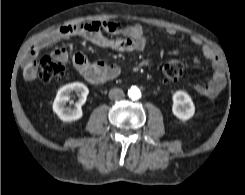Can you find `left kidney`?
<instances>
[{
  "instance_id": "5707ae66",
  "label": "left kidney",
  "mask_w": 245,
  "mask_h": 195,
  "mask_svg": "<svg viewBox=\"0 0 245 195\" xmlns=\"http://www.w3.org/2000/svg\"><path fill=\"white\" fill-rule=\"evenodd\" d=\"M173 114L180 120L186 121L193 117L195 106L191 97L184 91H176L173 94Z\"/></svg>"
}]
</instances>
